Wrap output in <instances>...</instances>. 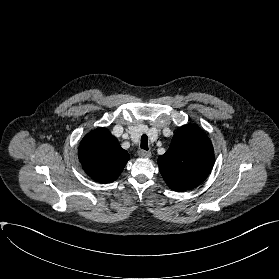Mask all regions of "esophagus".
<instances>
[{"mask_svg":"<svg viewBox=\"0 0 279 279\" xmlns=\"http://www.w3.org/2000/svg\"><path fill=\"white\" fill-rule=\"evenodd\" d=\"M138 155L142 158H150L151 157V152L145 151V150H139Z\"/></svg>","mask_w":279,"mask_h":279,"instance_id":"esophagus-1","label":"esophagus"}]
</instances>
